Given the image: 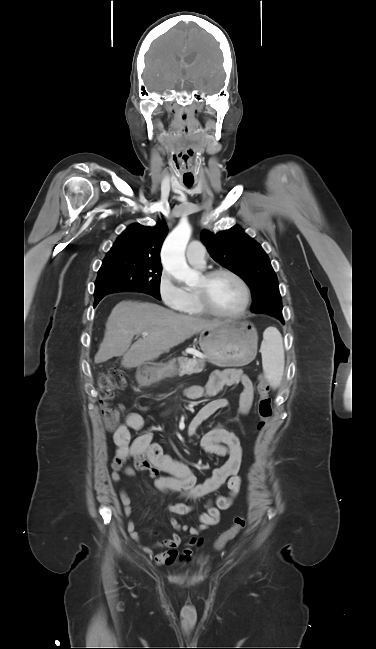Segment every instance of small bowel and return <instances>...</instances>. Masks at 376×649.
Listing matches in <instances>:
<instances>
[{
  "label": "small bowel",
  "instance_id": "small-bowel-1",
  "mask_svg": "<svg viewBox=\"0 0 376 649\" xmlns=\"http://www.w3.org/2000/svg\"><path fill=\"white\" fill-rule=\"evenodd\" d=\"M241 384L243 391L240 395L239 411L247 413L253 401V385L251 380L237 368L215 371L211 374L207 384L202 387L192 385L185 390L189 399H199L204 395L217 394L223 387ZM228 407L225 399H214L206 403L192 419L188 426L190 435L195 434L197 428L213 414ZM144 427V418L136 412L127 415L125 423L120 425L113 434V443L116 447L111 463V479L119 483L124 476H132L136 468L145 470L154 479L155 488L163 493H177L188 499L197 500L215 492L224 484L228 485L229 495L219 496L215 504H208L205 512L197 516L198 524L188 526L179 523L171 517L169 522L175 532L169 537L152 545L145 544L135 528L134 522L129 519L127 530L130 537L140 544L141 549L152 554L153 549H163L155 555L157 564L170 565L177 559L188 561L192 556V548L201 546L203 540L200 534L211 526L216 525L220 519V510L229 508L233 497L241 486L238 473L241 468L243 449L237 435L217 426L209 430L201 439L204 451L211 455L227 457L225 463L214 469L212 475L201 483L193 474L190 467L177 459L164 454L161 445L153 442V435L145 432L135 439L131 438V430L139 431ZM166 473V476H158ZM120 502L126 517L131 518V498L125 488L119 491ZM168 510L174 515H186L193 511L192 506L185 503H172ZM185 534L186 538L182 535ZM184 543V550L179 553L178 548Z\"/></svg>",
  "mask_w": 376,
  "mask_h": 649
}]
</instances>
